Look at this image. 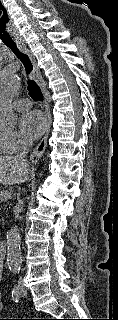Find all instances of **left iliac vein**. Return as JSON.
<instances>
[{
	"label": "left iliac vein",
	"mask_w": 118,
	"mask_h": 320,
	"mask_svg": "<svg viewBox=\"0 0 118 320\" xmlns=\"http://www.w3.org/2000/svg\"><path fill=\"white\" fill-rule=\"evenodd\" d=\"M18 287H19L21 296H23V297L26 296V295H27V292H26V290H25L24 285H23L22 282H19Z\"/></svg>",
	"instance_id": "1"
}]
</instances>
